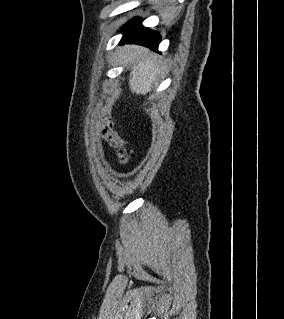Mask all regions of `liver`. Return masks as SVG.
I'll use <instances>...</instances> for the list:
<instances>
[{"label":"liver","mask_w":284,"mask_h":319,"mask_svg":"<svg viewBox=\"0 0 284 319\" xmlns=\"http://www.w3.org/2000/svg\"><path fill=\"white\" fill-rule=\"evenodd\" d=\"M126 50L130 53V58L136 62L130 73V89L133 93L146 95L151 91L153 80L159 73L156 61L148 55L145 48L131 45L126 46Z\"/></svg>","instance_id":"1"}]
</instances>
